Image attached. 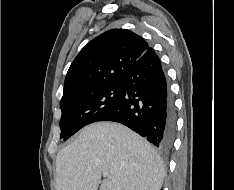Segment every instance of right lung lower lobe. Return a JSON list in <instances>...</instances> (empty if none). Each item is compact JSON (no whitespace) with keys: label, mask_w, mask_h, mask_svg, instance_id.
<instances>
[{"label":"right lung lower lobe","mask_w":234,"mask_h":190,"mask_svg":"<svg viewBox=\"0 0 234 190\" xmlns=\"http://www.w3.org/2000/svg\"><path fill=\"white\" fill-rule=\"evenodd\" d=\"M116 103L98 121L126 125L162 150L171 148L175 110L160 60L148 49L123 74Z\"/></svg>","instance_id":"obj_1"}]
</instances>
